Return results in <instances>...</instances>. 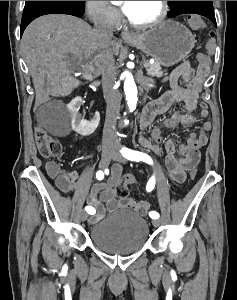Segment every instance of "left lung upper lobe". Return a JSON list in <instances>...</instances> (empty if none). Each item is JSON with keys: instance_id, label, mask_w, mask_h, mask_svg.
<instances>
[{"instance_id": "left-lung-upper-lobe-1", "label": "left lung upper lobe", "mask_w": 237, "mask_h": 300, "mask_svg": "<svg viewBox=\"0 0 237 300\" xmlns=\"http://www.w3.org/2000/svg\"><path fill=\"white\" fill-rule=\"evenodd\" d=\"M171 8L169 17L180 14H201V12H214L212 1H168Z\"/></svg>"}]
</instances>
